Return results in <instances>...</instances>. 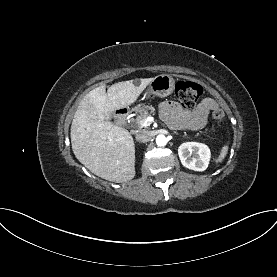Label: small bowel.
Segmentation results:
<instances>
[{
    "instance_id": "c3829d8e",
    "label": "small bowel",
    "mask_w": 277,
    "mask_h": 277,
    "mask_svg": "<svg viewBox=\"0 0 277 277\" xmlns=\"http://www.w3.org/2000/svg\"><path fill=\"white\" fill-rule=\"evenodd\" d=\"M217 107V102L211 98L203 99L193 110L176 101H165L160 105V115L172 129L198 130L205 126L210 111Z\"/></svg>"
}]
</instances>
